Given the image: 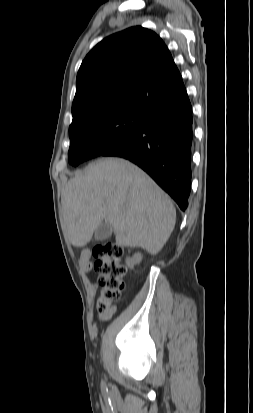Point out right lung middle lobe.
<instances>
[{
  "label": "right lung middle lobe",
  "instance_id": "1",
  "mask_svg": "<svg viewBox=\"0 0 253 413\" xmlns=\"http://www.w3.org/2000/svg\"><path fill=\"white\" fill-rule=\"evenodd\" d=\"M147 116L148 111L137 108L110 107L74 119L69 127V164L100 156L138 131Z\"/></svg>",
  "mask_w": 253,
  "mask_h": 413
}]
</instances>
